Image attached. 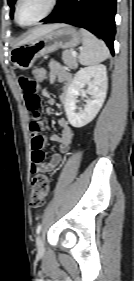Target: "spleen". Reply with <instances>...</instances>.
<instances>
[{"label":"spleen","instance_id":"spleen-1","mask_svg":"<svg viewBox=\"0 0 134 281\" xmlns=\"http://www.w3.org/2000/svg\"><path fill=\"white\" fill-rule=\"evenodd\" d=\"M80 32L82 34L83 48L78 58L82 65H95L109 57V50L104 41L97 39L85 29H81Z\"/></svg>","mask_w":134,"mask_h":281}]
</instances>
